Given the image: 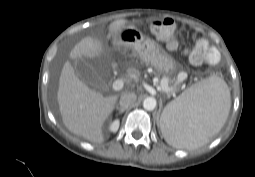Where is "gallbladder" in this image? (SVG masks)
<instances>
[{
  "mask_svg": "<svg viewBox=\"0 0 255 177\" xmlns=\"http://www.w3.org/2000/svg\"><path fill=\"white\" fill-rule=\"evenodd\" d=\"M77 75L87 84L96 85L99 82V77L93 70L91 65L82 58H77L72 61Z\"/></svg>",
  "mask_w": 255,
  "mask_h": 177,
  "instance_id": "obj_1",
  "label": "gallbladder"
}]
</instances>
